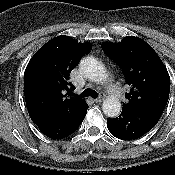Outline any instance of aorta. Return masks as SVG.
<instances>
[{
    "label": "aorta",
    "mask_w": 175,
    "mask_h": 175,
    "mask_svg": "<svg viewBox=\"0 0 175 175\" xmlns=\"http://www.w3.org/2000/svg\"><path fill=\"white\" fill-rule=\"evenodd\" d=\"M80 68L91 81L101 82L106 78L104 66L93 57L83 59ZM102 110L108 117H117L121 112V102L116 96H109L103 101Z\"/></svg>",
    "instance_id": "obj_1"
}]
</instances>
